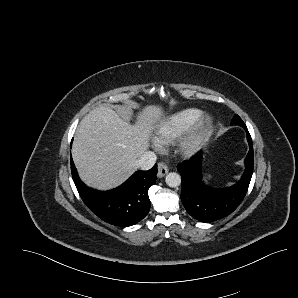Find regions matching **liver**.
Returning a JSON list of instances; mask_svg holds the SVG:
<instances>
[{
    "label": "liver",
    "instance_id": "obj_1",
    "mask_svg": "<svg viewBox=\"0 0 298 298\" xmlns=\"http://www.w3.org/2000/svg\"><path fill=\"white\" fill-rule=\"evenodd\" d=\"M163 114L162 106L147 105L131 125L110 107L90 111L76 130L71 151L82 181L100 190L124 182L138 169Z\"/></svg>",
    "mask_w": 298,
    "mask_h": 298
}]
</instances>
